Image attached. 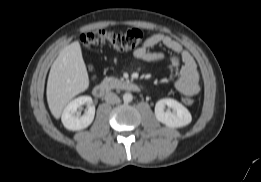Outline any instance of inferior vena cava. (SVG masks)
<instances>
[{
    "instance_id": "602c4592",
    "label": "inferior vena cava",
    "mask_w": 261,
    "mask_h": 182,
    "mask_svg": "<svg viewBox=\"0 0 261 182\" xmlns=\"http://www.w3.org/2000/svg\"><path fill=\"white\" fill-rule=\"evenodd\" d=\"M105 100H106V102H108L110 104H115L120 101L119 97L113 92L106 93Z\"/></svg>"
}]
</instances>
